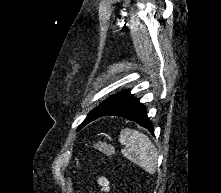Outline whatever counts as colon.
<instances>
[{
  "label": "colon",
  "instance_id": "5ec220e1",
  "mask_svg": "<svg viewBox=\"0 0 221 193\" xmlns=\"http://www.w3.org/2000/svg\"><path fill=\"white\" fill-rule=\"evenodd\" d=\"M92 148L95 150H99L103 153H106L108 155H112L114 153L113 147L106 143H96L92 146Z\"/></svg>",
  "mask_w": 221,
  "mask_h": 193
}]
</instances>
